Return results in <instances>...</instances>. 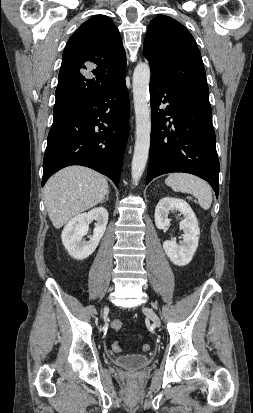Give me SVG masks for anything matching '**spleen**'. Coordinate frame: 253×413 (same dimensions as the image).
<instances>
[{
	"label": "spleen",
	"mask_w": 253,
	"mask_h": 413,
	"mask_svg": "<svg viewBox=\"0 0 253 413\" xmlns=\"http://www.w3.org/2000/svg\"><path fill=\"white\" fill-rule=\"evenodd\" d=\"M165 183L176 192L190 193L195 196L204 210L211 207V187L201 178L192 174L172 173L166 178Z\"/></svg>",
	"instance_id": "spleen-1"
}]
</instances>
